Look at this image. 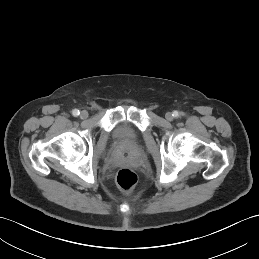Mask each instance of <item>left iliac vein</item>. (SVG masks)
Listing matches in <instances>:
<instances>
[{
  "label": "left iliac vein",
  "instance_id": "left-iliac-vein-1",
  "mask_svg": "<svg viewBox=\"0 0 259 259\" xmlns=\"http://www.w3.org/2000/svg\"><path fill=\"white\" fill-rule=\"evenodd\" d=\"M165 118L168 120V121H172L174 119V116H173V113L172 112H167L165 114Z\"/></svg>",
  "mask_w": 259,
  "mask_h": 259
}]
</instances>
